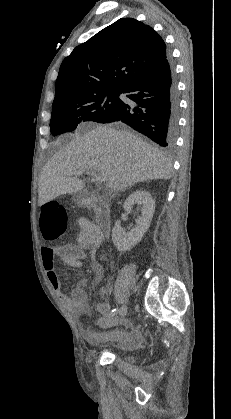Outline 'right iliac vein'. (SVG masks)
Listing matches in <instances>:
<instances>
[{
	"label": "right iliac vein",
	"instance_id": "1",
	"mask_svg": "<svg viewBox=\"0 0 231 419\" xmlns=\"http://www.w3.org/2000/svg\"><path fill=\"white\" fill-rule=\"evenodd\" d=\"M128 308L127 306H123L119 312H118V317H124L127 314Z\"/></svg>",
	"mask_w": 231,
	"mask_h": 419
}]
</instances>
